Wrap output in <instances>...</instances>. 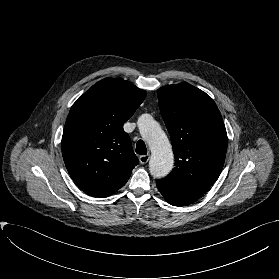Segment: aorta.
I'll use <instances>...</instances> for the list:
<instances>
[{
    "instance_id": "1",
    "label": "aorta",
    "mask_w": 279,
    "mask_h": 279,
    "mask_svg": "<svg viewBox=\"0 0 279 279\" xmlns=\"http://www.w3.org/2000/svg\"><path fill=\"white\" fill-rule=\"evenodd\" d=\"M138 128L152 153L149 162L151 175L157 178L168 175L173 168L174 155L166 134L153 117L148 114L139 117Z\"/></svg>"
}]
</instances>
